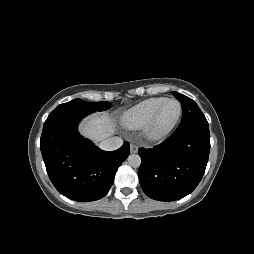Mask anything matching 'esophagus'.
Instances as JSON below:
<instances>
[{"instance_id": "1", "label": "esophagus", "mask_w": 254, "mask_h": 254, "mask_svg": "<svg viewBox=\"0 0 254 254\" xmlns=\"http://www.w3.org/2000/svg\"><path fill=\"white\" fill-rule=\"evenodd\" d=\"M130 151L131 153H136L138 151V146L136 144H131Z\"/></svg>"}]
</instances>
